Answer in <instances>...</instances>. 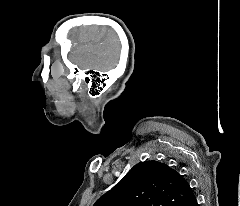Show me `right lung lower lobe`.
Returning <instances> with one entry per match:
<instances>
[{
	"instance_id": "obj_1",
	"label": "right lung lower lobe",
	"mask_w": 240,
	"mask_h": 206,
	"mask_svg": "<svg viewBox=\"0 0 240 206\" xmlns=\"http://www.w3.org/2000/svg\"><path fill=\"white\" fill-rule=\"evenodd\" d=\"M182 206H198L196 197L194 196L191 200L183 204Z\"/></svg>"
}]
</instances>
